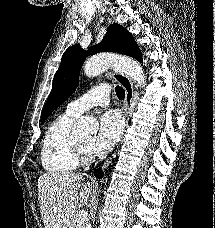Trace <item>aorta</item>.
I'll return each instance as SVG.
<instances>
[{
	"label": "aorta",
	"instance_id": "aorta-1",
	"mask_svg": "<svg viewBox=\"0 0 215 228\" xmlns=\"http://www.w3.org/2000/svg\"><path fill=\"white\" fill-rule=\"evenodd\" d=\"M114 64H118L127 76H130L132 80L137 82L138 86H144L146 78L140 64H137L134 60L116 58V56H112V54H99V56H95V58L87 60L83 66L84 74H86L88 78H95L98 74H102L105 68H111ZM74 128L77 132H88V130H94L91 126V118H82V120L77 122Z\"/></svg>",
	"mask_w": 215,
	"mask_h": 228
}]
</instances>
